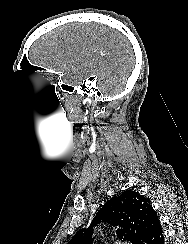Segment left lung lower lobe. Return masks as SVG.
I'll return each instance as SVG.
<instances>
[{"label": "left lung lower lobe", "mask_w": 188, "mask_h": 244, "mask_svg": "<svg viewBox=\"0 0 188 244\" xmlns=\"http://www.w3.org/2000/svg\"><path fill=\"white\" fill-rule=\"evenodd\" d=\"M164 236L159 222L157 213L155 212L148 222L145 236L142 244H164Z\"/></svg>", "instance_id": "0a47b994"}]
</instances>
